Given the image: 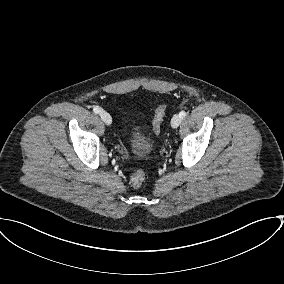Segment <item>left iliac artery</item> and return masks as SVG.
I'll return each mask as SVG.
<instances>
[{
  "instance_id": "left-iliac-artery-1",
  "label": "left iliac artery",
  "mask_w": 284,
  "mask_h": 284,
  "mask_svg": "<svg viewBox=\"0 0 284 284\" xmlns=\"http://www.w3.org/2000/svg\"><path fill=\"white\" fill-rule=\"evenodd\" d=\"M179 115H180L181 118H183V117L186 116V112H185V111H181V112L179 113Z\"/></svg>"
}]
</instances>
